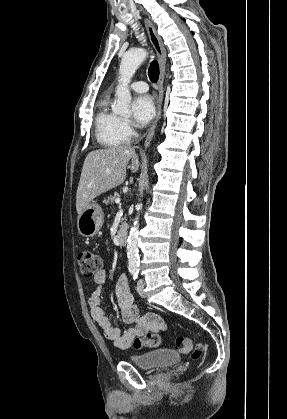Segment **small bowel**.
Returning a JSON list of instances; mask_svg holds the SVG:
<instances>
[{
  "label": "small bowel",
  "mask_w": 287,
  "mask_h": 419,
  "mask_svg": "<svg viewBox=\"0 0 287 419\" xmlns=\"http://www.w3.org/2000/svg\"><path fill=\"white\" fill-rule=\"evenodd\" d=\"M107 273L104 269L94 276L97 288L88 299L91 317L103 330L107 339L113 341L119 349H127L134 339L144 336L148 332H159L165 328L162 317L156 313L142 315L133 303V295L130 292L126 276L121 275L115 286L117 310L122 321L127 325L124 332L113 327L109 318L105 315L101 306V286L104 284Z\"/></svg>",
  "instance_id": "c3829d8e"
}]
</instances>
